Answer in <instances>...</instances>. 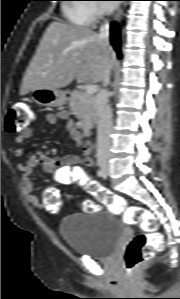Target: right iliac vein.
<instances>
[{
    "mask_svg": "<svg viewBox=\"0 0 180 299\" xmlns=\"http://www.w3.org/2000/svg\"><path fill=\"white\" fill-rule=\"evenodd\" d=\"M100 164H101L102 168H103L104 170H106V165L104 164V161H103V160H101Z\"/></svg>",
    "mask_w": 180,
    "mask_h": 299,
    "instance_id": "1",
    "label": "right iliac vein"
}]
</instances>
